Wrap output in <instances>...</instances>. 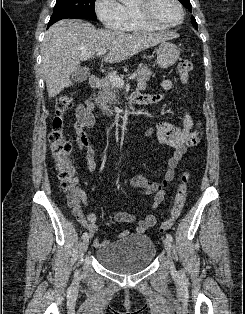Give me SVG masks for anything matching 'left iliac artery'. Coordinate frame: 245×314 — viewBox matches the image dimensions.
<instances>
[{"label": "left iliac artery", "mask_w": 245, "mask_h": 314, "mask_svg": "<svg viewBox=\"0 0 245 314\" xmlns=\"http://www.w3.org/2000/svg\"><path fill=\"white\" fill-rule=\"evenodd\" d=\"M166 238L169 239L170 241H173V237H172L171 234H167V235H166Z\"/></svg>", "instance_id": "left-iliac-artery-1"}]
</instances>
